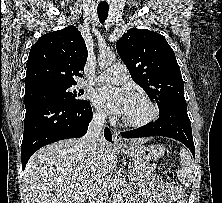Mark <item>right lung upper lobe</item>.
Returning <instances> with one entry per match:
<instances>
[{
    "label": "right lung upper lobe",
    "instance_id": "cb5924a9",
    "mask_svg": "<svg viewBox=\"0 0 222 203\" xmlns=\"http://www.w3.org/2000/svg\"><path fill=\"white\" fill-rule=\"evenodd\" d=\"M88 51L81 33L71 25L41 36L32 45L27 60L25 92L76 84Z\"/></svg>",
    "mask_w": 222,
    "mask_h": 203
}]
</instances>
